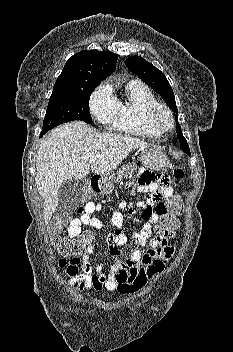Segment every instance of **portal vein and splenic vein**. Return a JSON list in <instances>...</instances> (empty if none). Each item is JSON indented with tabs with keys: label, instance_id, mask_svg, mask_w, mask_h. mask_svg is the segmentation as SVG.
Returning a JSON list of instances; mask_svg holds the SVG:
<instances>
[{
	"label": "portal vein and splenic vein",
	"instance_id": "1",
	"mask_svg": "<svg viewBox=\"0 0 233 352\" xmlns=\"http://www.w3.org/2000/svg\"><path fill=\"white\" fill-rule=\"evenodd\" d=\"M96 160H97V156H91L90 159H89V161L91 163H94Z\"/></svg>",
	"mask_w": 233,
	"mask_h": 352
}]
</instances>
